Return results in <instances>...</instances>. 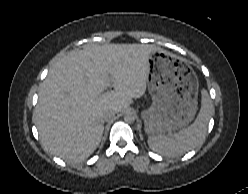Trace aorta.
<instances>
[{"instance_id":"762f6f07","label":"aorta","mask_w":248,"mask_h":194,"mask_svg":"<svg viewBox=\"0 0 248 194\" xmlns=\"http://www.w3.org/2000/svg\"><path fill=\"white\" fill-rule=\"evenodd\" d=\"M135 118H136V116H135V114L132 113V112H128V113H126L125 116H124V120H125V122H127V123H133V122L135 121Z\"/></svg>"}]
</instances>
